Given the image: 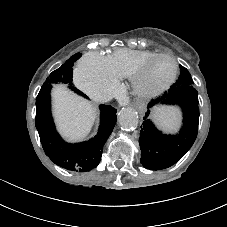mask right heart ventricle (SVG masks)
<instances>
[{"label":"right heart ventricle","instance_id":"e07e8e85","mask_svg":"<svg viewBox=\"0 0 227 227\" xmlns=\"http://www.w3.org/2000/svg\"><path fill=\"white\" fill-rule=\"evenodd\" d=\"M157 54L154 51L119 48L108 57L112 72L119 78H131L140 66L150 57Z\"/></svg>","mask_w":227,"mask_h":227}]
</instances>
